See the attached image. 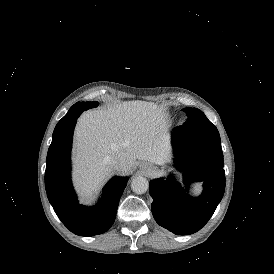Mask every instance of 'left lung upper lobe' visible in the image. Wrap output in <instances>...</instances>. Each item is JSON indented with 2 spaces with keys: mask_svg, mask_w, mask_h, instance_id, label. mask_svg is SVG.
I'll return each mask as SVG.
<instances>
[{
  "mask_svg": "<svg viewBox=\"0 0 274 274\" xmlns=\"http://www.w3.org/2000/svg\"><path fill=\"white\" fill-rule=\"evenodd\" d=\"M182 111L187 114V122L183 123L184 128L198 130V131H208V132H218L217 128L207 119L205 114L196 108H184Z\"/></svg>",
  "mask_w": 274,
  "mask_h": 274,
  "instance_id": "5c2ea615",
  "label": "left lung upper lobe"
}]
</instances>
